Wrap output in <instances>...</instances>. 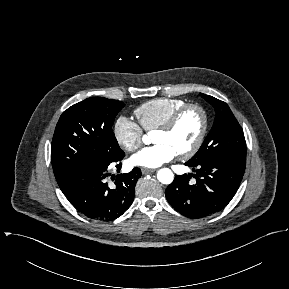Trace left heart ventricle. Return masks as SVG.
Segmentation results:
<instances>
[{
	"label": "left heart ventricle",
	"instance_id": "b2bd125f",
	"mask_svg": "<svg viewBox=\"0 0 289 289\" xmlns=\"http://www.w3.org/2000/svg\"><path fill=\"white\" fill-rule=\"evenodd\" d=\"M201 116L196 110L187 111L171 132L156 131L153 142L172 147L177 154L186 151L196 140L201 128Z\"/></svg>",
	"mask_w": 289,
	"mask_h": 289
}]
</instances>
